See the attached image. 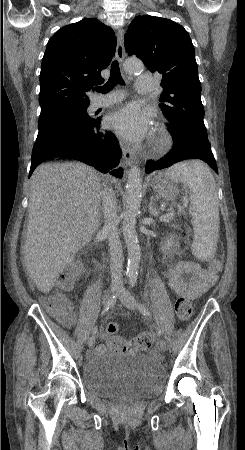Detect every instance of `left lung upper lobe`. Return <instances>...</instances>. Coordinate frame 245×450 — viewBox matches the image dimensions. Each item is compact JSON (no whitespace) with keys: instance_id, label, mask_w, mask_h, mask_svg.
<instances>
[{"instance_id":"5c2ea615","label":"left lung upper lobe","mask_w":245,"mask_h":450,"mask_svg":"<svg viewBox=\"0 0 245 450\" xmlns=\"http://www.w3.org/2000/svg\"><path fill=\"white\" fill-rule=\"evenodd\" d=\"M129 55L139 57L152 73L163 75L160 107L179 145L209 144L204 125L201 84L194 46L179 24L155 16H138L124 36Z\"/></svg>"}]
</instances>
